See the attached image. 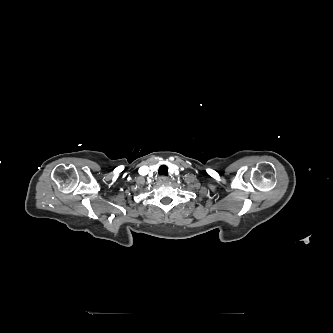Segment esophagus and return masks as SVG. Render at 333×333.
<instances>
[{"label":"esophagus","instance_id":"esophagus-1","mask_svg":"<svg viewBox=\"0 0 333 333\" xmlns=\"http://www.w3.org/2000/svg\"><path fill=\"white\" fill-rule=\"evenodd\" d=\"M169 181V178L167 176H161L159 177V183L166 184Z\"/></svg>","mask_w":333,"mask_h":333}]
</instances>
